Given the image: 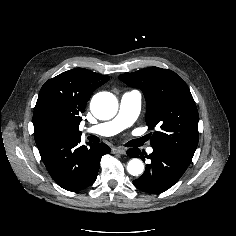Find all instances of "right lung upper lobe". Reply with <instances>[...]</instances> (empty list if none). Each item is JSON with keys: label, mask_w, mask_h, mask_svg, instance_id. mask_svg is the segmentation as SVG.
<instances>
[{"label": "right lung upper lobe", "mask_w": 236, "mask_h": 236, "mask_svg": "<svg viewBox=\"0 0 236 236\" xmlns=\"http://www.w3.org/2000/svg\"><path fill=\"white\" fill-rule=\"evenodd\" d=\"M109 76L84 68L68 70L42 86L33 113L36 145L58 138L81 136L80 114L92 93Z\"/></svg>", "instance_id": "obj_1"}]
</instances>
